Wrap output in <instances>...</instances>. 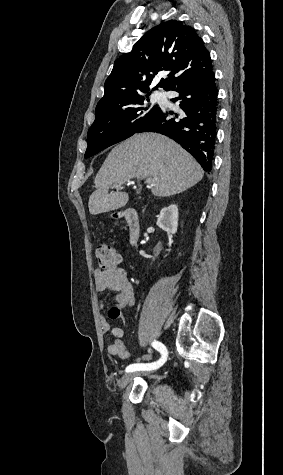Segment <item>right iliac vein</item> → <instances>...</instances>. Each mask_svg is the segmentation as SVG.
I'll list each match as a JSON object with an SVG mask.
<instances>
[{"label": "right iliac vein", "mask_w": 283, "mask_h": 475, "mask_svg": "<svg viewBox=\"0 0 283 475\" xmlns=\"http://www.w3.org/2000/svg\"><path fill=\"white\" fill-rule=\"evenodd\" d=\"M147 374V373H145ZM139 373H132V372H129V373H126L119 381L118 383V387L120 390L124 389L126 387V385L136 376H138Z\"/></svg>", "instance_id": "right-iliac-vein-1"}]
</instances>
